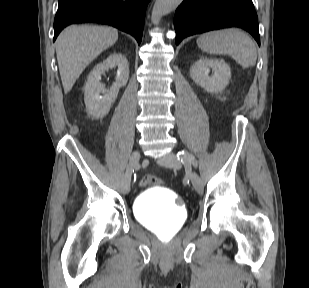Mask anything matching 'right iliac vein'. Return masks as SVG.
<instances>
[{"label":"right iliac vein","mask_w":309,"mask_h":288,"mask_svg":"<svg viewBox=\"0 0 309 288\" xmlns=\"http://www.w3.org/2000/svg\"><path fill=\"white\" fill-rule=\"evenodd\" d=\"M140 157H141V155H140L139 151H134L130 156L129 164L132 165V168L131 169L126 168V171H125V174H124V184H125V190H126L127 193L130 189V184H131V180H132V172L135 169V168H133L132 163H134L135 160L139 161Z\"/></svg>","instance_id":"1"}]
</instances>
